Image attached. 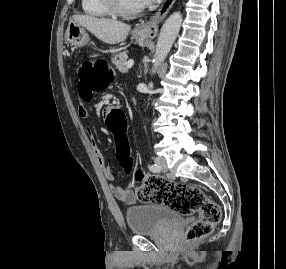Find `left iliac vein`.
<instances>
[{
    "label": "left iliac vein",
    "mask_w": 286,
    "mask_h": 269,
    "mask_svg": "<svg viewBox=\"0 0 286 269\" xmlns=\"http://www.w3.org/2000/svg\"><path fill=\"white\" fill-rule=\"evenodd\" d=\"M155 162H156V164H158L161 167L162 171H164V172L168 171L167 163H166V160L164 157H157L155 159Z\"/></svg>",
    "instance_id": "1"
}]
</instances>
